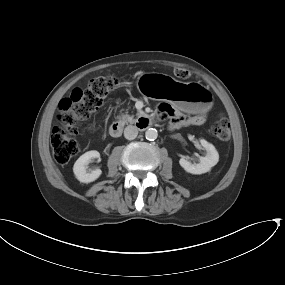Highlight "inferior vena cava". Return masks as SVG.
Masks as SVG:
<instances>
[{
	"label": "inferior vena cava",
	"mask_w": 285,
	"mask_h": 285,
	"mask_svg": "<svg viewBox=\"0 0 285 285\" xmlns=\"http://www.w3.org/2000/svg\"><path fill=\"white\" fill-rule=\"evenodd\" d=\"M137 135H138V129L136 126L129 125L124 130V136L128 140L135 139L137 137Z\"/></svg>",
	"instance_id": "1"
}]
</instances>
